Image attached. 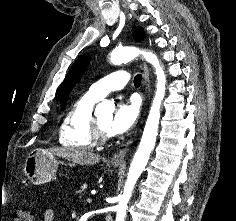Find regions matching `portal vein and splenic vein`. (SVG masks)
<instances>
[{"label":"portal vein and splenic vein","mask_w":236,"mask_h":221,"mask_svg":"<svg viewBox=\"0 0 236 221\" xmlns=\"http://www.w3.org/2000/svg\"><path fill=\"white\" fill-rule=\"evenodd\" d=\"M87 203H91L92 202V199L91 198H87Z\"/></svg>","instance_id":"1"}]
</instances>
